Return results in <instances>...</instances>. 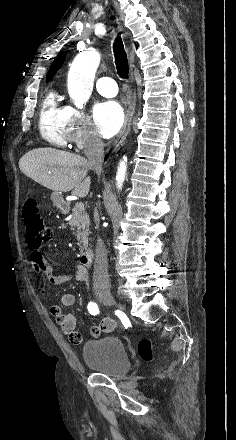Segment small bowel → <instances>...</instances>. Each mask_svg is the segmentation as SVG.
<instances>
[{
  "instance_id": "1",
  "label": "small bowel",
  "mask_w": 236,
  "mask_h": 440,
  "mask_svg": "<svg viewBox=\"0 0 236 440\" xmlns=\"http://www.w3.org/2000/svg\"><path fill=\"white\" fill-rule=\"evenodd\" d=\"M30 259L33 272L43 275V279L40 282L41 290H44L47 285H62L70 279H74L78 282H83L88 285V273L82 266H78L75 272L71 274H54L52 267L45 260L39 250L33 249L30 253ZM75 301V296L72 293H65L61 297V306L65 308H72L75 305ZM61 306L57 304L52 305L50 307V314L56 320L62 333L67 335L69 341L74 345H78L82 341V336L76 330V318L71 312L64 313ZM115 328V320L105 318L100 322V324H92V327L89 329V334L92 337H97L101 333H114Z\"/></svg>"
}]
</instances>
